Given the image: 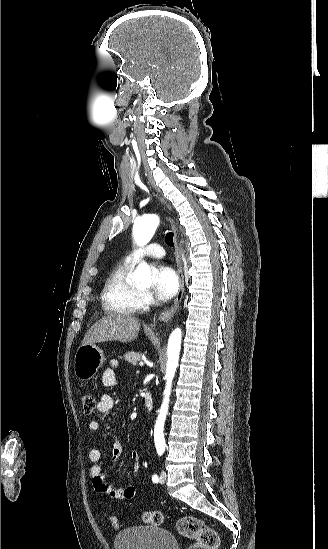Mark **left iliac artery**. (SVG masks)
Here are the masks:
<instances>
[{
	"label": "left iliac artery",
	"instance_id": "1",
	"mask_svg": "<svg viewBox=\"0 0 328 549\" xmlns=\"http://www.w3.org/2000/svg\"><path fill=\"white\" fill-rule=\"evenodd\" d=\"M152 481L155 482V483H157V482L159 481L158 476H157V475H153Z\"/></svg>",
	"mask_w": 328,
	"mask_h": 549
}]
</instances>
